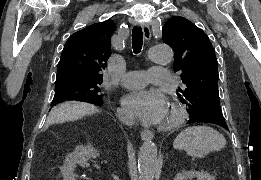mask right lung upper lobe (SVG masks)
Returning a JSON list of instances; mask_svg holds the SVG:
<instances>
[{"label": "right lung upper lobe", "instance_id": "1", "mask_svg": "<svg viewBox=\"0 0 261 180\" xmlns=\"http://www.w3.org/2000/svg\"><path fill=\"white\" fill-rule=\"evenodd\" d=\"M115 24L104 21L74 33L66 42L57 69L56 84L66 81H101L111 54Z\"/></svg>", "mask_w": 261, "mask_h": 180}]
</instances>
